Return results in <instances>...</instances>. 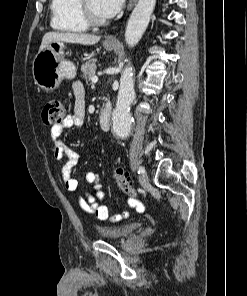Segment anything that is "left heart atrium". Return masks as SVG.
<instances>
[{
  "label": "left heart atrium",
  "mask_w": 247,
  "mask_h": 296,
  "mask_svg": "<svg viewBox=\"0 0 247 296\" xmlns=\"http://www.w3.org/2000/svg\"><path fill=\"white\" fill-rule=\"evenodd\" d=\"M124 0H99V11L104 18L115 16L121 9Z\"/></svg>",
  "instance_id": "left-heart-atrium-1"
}]
</instances>
